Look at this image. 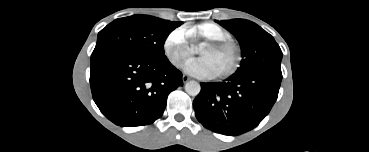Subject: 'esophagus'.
Listing matches in <instances>:
<instances>
[{"label": "esophagus", "instance_id": "esophagus-1", "mask_svg": "<svg viewBox=\"0 0 369 152\" xmlns=\"http://www.w3.org/2000/svg\"><path fill=\"white\" fill-rule=\"evenodd\" d=\"M189 77L187 76V75H183L182 76V81L184 82V83H186L187 81H189Z\"/></svg>", "mask_w": 369, "mask_h": 152}]
</instances>
